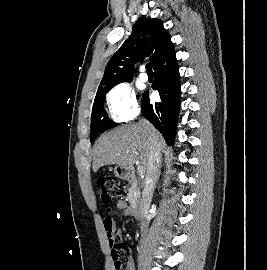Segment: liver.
<instances>
[{"label": "liver", "mask_w": 267, "mask_h": 270, "mask_svg": "<svg viewBox=\"0 0 267 270\" xmlns=\"http://www.w3.org/2000/svg\"><path fill=\"white\" fill-rule=\"evenodd\" d=\"M151 135L154 136L160 152H163L166 143L154 127L149 132L138 123L118 126L109 131L101 136L95 144L93 171L97 172L100 167L112 164L130 169L138 161L146 170L151 152Z\"/></svg>", "instance_id": "obj_1"}]
</instances>
